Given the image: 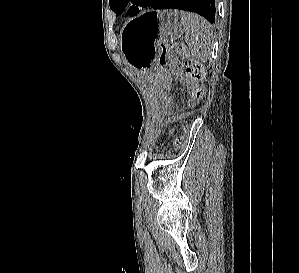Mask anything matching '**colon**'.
<instances>
[{"label": "colon", "mask_w": 299, "mask_h": 273, "mask_svg": "<svg viewBox=\"0 0 299 273\" xmlns=\"http://www.w3.org/2000/svg\"><path fill=\"white\" fill-rule=\"evenodd\" d=\"M183 53L184 48L181 44H163L158 62L161 65H167L182 83L190 85L189 91L192 101H199L205 94V87L202 84L205 78V70L200 63L193 59H186L181 62L178 56ZM183 143V137H178L175 140L177 148L181 147Z\"/></svg>", "instance_id": "colon-1"}]
</instances>
